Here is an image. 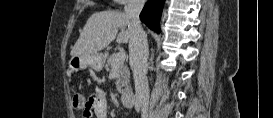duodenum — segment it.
I'll list each match as a JSON object with an SVG mask.
<instances>
[{
  "mask_svg": "<svg viewBox=\"0 0 273 118\" xmlns=\"http://www.w3.org/2000/svg\"><path fill=\"white\" fill-rule=\"evenodd\" d=\"M121 102L125 107H135L137 104L135 93L131 90L124 91L121 94Z\"/></svg>",
  "mask_w": 273,
  "mask_h": 118,
  "instance_id": "duodenum-1",
  "label": "duodenum"
}]
</instances>
